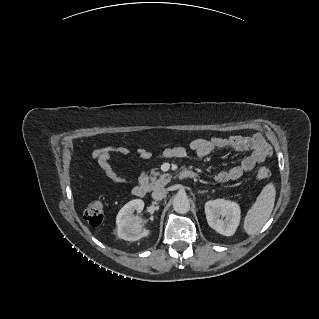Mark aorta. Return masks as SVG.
I'll return each instance as SVG.
<instances>
[{
    "instance_id": "obj_1",
    "label": "aorta",
    "mask_w": 319,
    "mask_h": 319,
    "mask_svg": "<svg viewBox=\"0 0 319 319\" xmlns=\"http://www.w3.org/2000/svg\"><path fill=\"white\" fill-rule=\"evenodd\" d=\"M173 209L179 214H186L190 210L189 199L184 192H179L173 199Z\"/></svg>"
}]
</instances>
